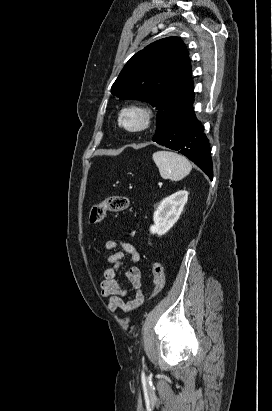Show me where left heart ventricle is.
Instances as JSON below:
<instances>
[{
  "label": "left heart ventricle",
  "mask_w": 272,
  "mask_h": 411,
  "mask_svg": "<svg viewBox=\"0 0 272 411\" xmlns=\"http://www.w3.org/2000/svg\"><path fill=\"white\" fill-rule=\"evenodd\" d=\"M127 122L130 125H136L139 122V117L135 114H130V115L127 116Z\"/></svg>",
  "instance_id": "obj_1"
}]
</instances>
